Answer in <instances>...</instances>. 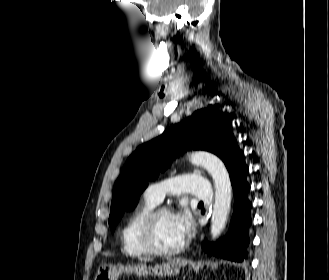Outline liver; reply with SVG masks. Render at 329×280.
<instances>
[{
  "label": "liver",
  "mask_w": 329,
  "mask_h": 280,
  "mask_svg": "<svg viewBox=\"0 0 329 280\" xmlns=\"http://www.w3.org/2000/svg\"><path fill=\"white\" fill-rule=\"evenodd\" d=\"M141 261H149L150 259L147 258H140Z\"/></svg>",
  "instance_id": "1"
}]
</instances>
